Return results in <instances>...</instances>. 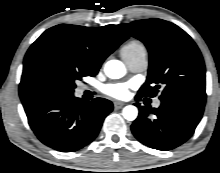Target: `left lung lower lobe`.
<instances>
[{
  "label": "left lung lower lobe",
  "instance_id": "0a47b994",
  "mask_svg": "<svg viewBox=\"0 0 220 173\" xmlns=\"http://www.w3.org/2000/svg\"><path fill=\"white\" fill-rule=\"evenodd\" d=\"M138 95L136 99H140ZM131 126L143 144L158 150H171L187 141L202 118L204 106L178 100H162L159 108L140 106Z\"/></svg>",
  "mask_w": 220,
  "mask_h": 173
}]
</instances>
